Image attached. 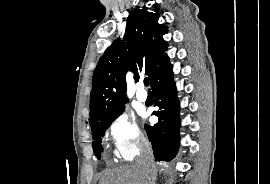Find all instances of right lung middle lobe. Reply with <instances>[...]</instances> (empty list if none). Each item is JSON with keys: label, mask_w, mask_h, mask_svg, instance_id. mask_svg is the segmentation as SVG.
<instances>
[{"label": "right lung middle lobe", "mask_w": 270, "mask_h": 184, "mask_svg": "<svg viewBox=\"0 0 270 184\" xmlns=\"http://www.w3.org/2000/svg\"><path fill=\"white\" fill-rule=\"evenodd\" d=\"M124 108L120 110L117 114H115L112 118L97 122L93 125H91L92 129V135H93V151L94 155L97 157V159L101 158V152L103 150V146L101 144L102 137L105 134L106 129L110 126V124L118 117L120 114H122Z\"/></svg>", "instance_id": "1"}]
</instances>
